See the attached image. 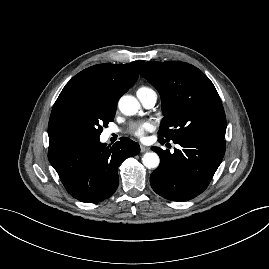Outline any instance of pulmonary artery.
I'll return each instance as SVG.
<instances>
[{
    "instance_id": "e3ab8cb5",
    "label": "pulmonary artery",
    "mask_w": 269,
    "mask_h": 269,
    "mask_svg": "<svg viewBox=\"0 0 269 269\" xmlns=\"http://www.w3.org/2000/svg\"><path fill=\"white\" fill-rule=\"evenodd\" d=\"M138 97L146 108H152L156 104V101H157V94L154 91L148 92L143 95L142 94L138 95ZM114 132L115 130L111 129L108 131V134H111Z\"/></svg>"
}]
</instances>
